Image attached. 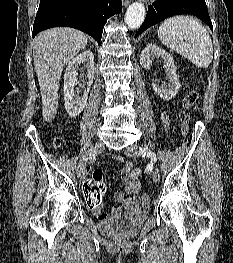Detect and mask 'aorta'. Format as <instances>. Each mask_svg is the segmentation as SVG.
Instances as JSON below:
<instances>
[{"mask_svg":"<svg viewBox=\"0 0 233 263\" xmlns=\"http://www.w3.org/2000/svg\"><path fill=\"white\" fill-rule=\"evenodd\" d=\"M146 16V10L142 3L135 2L129 6L125 14V22L130 29L141 26Z\"/></svg>","mask_w":233,"mask_h":263,"instance_id":"aorta-1","label":"aorta"}]
</instances>
